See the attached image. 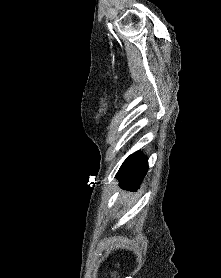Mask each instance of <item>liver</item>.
Instances as JSON below:
<instances>
[{
  "label": "liver",
  "instance_id": "obj_1",
  "mask_svg": "<svg viewBox=\"0 0 221 278\" xmlns=\"http://www.w3.org/2000/svg\"><path fill=\"white\" fill-rule=\"evenodd\" d=\"M121 196H123V200L125 201V204H128V205L131 204V201H130L131 199L129 198L128 194H126L125 192H122ZM121 196H120V198H121Z\"/></svg>",
  "mask_w": 221,
  "mask_h": 278
}]
</instances>
